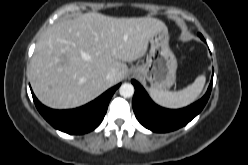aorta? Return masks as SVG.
<instances>
[{
	"mask_svg": "<svg viewBox=\"0 0 248 165\" xmlns=\"http://www.w3.org/2000/svg\"><path fill=\"white\" fill-rule=\"evenodd\" d=\"M119 93L124 98H129V97L133 96V94H134V86L132 84H129V83H124L121 85V87L119 89Z\"/></svg>",
	"mask_w": 248,
	"mask_h": 165,
	"instance_id": "aorta-1",
	"label": "aorta"
}]
</instances>
